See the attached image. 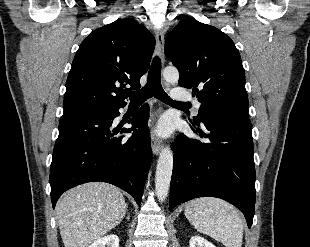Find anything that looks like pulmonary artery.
I'll list each match as a JSON object with an SVG mask.
<instances>
[{
  "label": "pulmonary artery",
  "mask_w": 310,
  "mask_h": 247,
  "mask_svg": "<svg viewBox=\"0 0 310 247\" xmlns=\"http://www.w3.org/2000/svg\"><path fill=\"white\" fill-rule=\"evenodd\" d=\"M171 98L175 101H193L195 107L199 108L200 103L197 100H193L189 93L183 92L182 88L176 87L171 91Z\"/></svg>",
  "instance_id": "obj_1"
}]
</instances>
